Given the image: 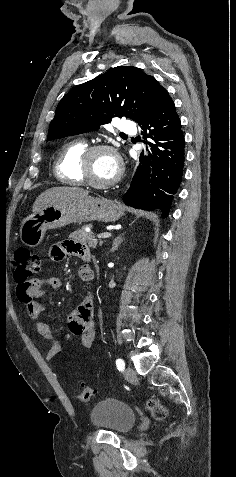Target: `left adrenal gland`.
Listing matches in <instances>:
<instances>
[{
  "label": "left adrenal gland",
  "instance_id": "a2214340",
  "mask_svg": "<svg viewBox=\"0 0 236 477\" xmlns=\"http://www.w3.org/2000/svg\"><path fill=\"white\" fill-rule=\"evenodd\" d=\"M122 242H123V238L121 236H118L117 238H115L110 252L116 251Z\"/></svg>",
  "mask_w": 236,
  "mask_h": 477
}]
</instances>
